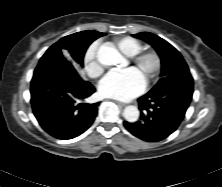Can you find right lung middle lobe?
<instances>
[{"mask_svg":"<svg viewBox=\"0 0 222 187\" xmlns=\"http://www.w3.org/2000/svg\"><path fill=\"white\" fill-rule=\"evenodd\" d=\"M105 35V34H104ZM98 38V36L88 35L78 32L60 39L52 45L45 54L50 56L66 55L72 65L83 66V58L88 46Z\"/></svg>","mask_w":222,"mask_h":187,"instance_id":"obj_1","label":"right lung middle lobe"}]
</instances>
